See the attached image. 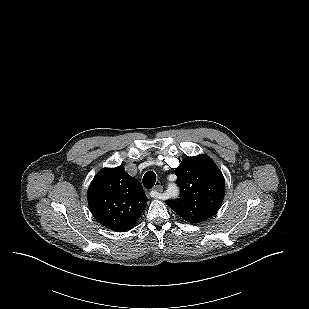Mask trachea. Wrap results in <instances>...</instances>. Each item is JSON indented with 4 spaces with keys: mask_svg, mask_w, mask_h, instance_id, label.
<instances>
[{
    "mask_svg": "<svg viewBox=\"0 0 309 309\" xmlns=\"http://www.w3.org/2000/svg\"><path fill=\"white\" fill-rule=\"evenodd\" d=\"M156 182V174L153 171H148L143 177V185L145 188H152Z\"/></svg>",
    "mask_w": 309,
    "mask_h": 309,
    "instance_id": "trachea-1",
    "label": "trachea"
}]
</instances>
